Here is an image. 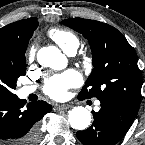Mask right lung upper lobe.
<instances>
[{
	"instance_id": "1",
	"label": "right lung upper lobe",
	"mask_w": 145,
	"mask_h": 145,
	"mask_svg": "<svg viewBox=\"0 0 145 145\" xmlns=\"http://www.w3.org/2000/svg\"><path fill=\"white\" fill-rule=\"evenodd\" d=\"M38 26L37 18L20 20L0 29V50L22 46L30 40Z\"/></svg>"
}]
</instances>
